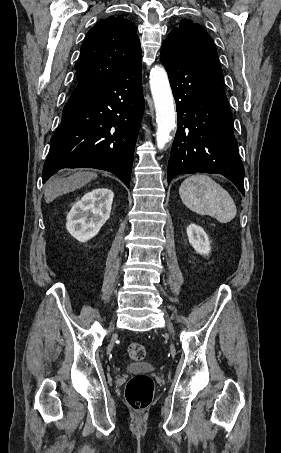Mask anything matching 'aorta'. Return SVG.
Listing matches in <instances>:
<instances>
[{
  "instance_id": "aorta-1",
  "label": "aorta",
  "mask_w": 281,
  "mask_h": 453,
  "mask_svg": "<svg viewBox=\"0 0 281 453\" xmlns=\"http://www.w3.org/2000/svg\"><path fill=\"white\" fill-rule=\"evenodd\" d=\"M150 88L156 110V142L158 149H163L171 141V132L176 127L174 97L166 70L154 66L150 71Z\"/></svg>"
}]
</instances>
